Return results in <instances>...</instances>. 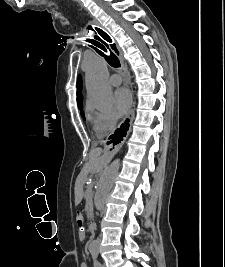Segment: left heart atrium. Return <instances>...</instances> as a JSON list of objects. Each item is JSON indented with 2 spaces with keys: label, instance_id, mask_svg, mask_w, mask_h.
Returning <instances> with one entry per match:
<instances>
[{
  "label": "left heart atrium",
  "instance_id": "1",
  "mask_svg": "<svg viewBox=\"0 0 225 267\" xmlns=\"http://www.w3.org/2000/svg\"><path fill=\"white\" fill-rule=\"evenodd\" d=\"M131 105V95L125 88H119L114 93V108L117 115H124Z\"/></svg>",
  "mask_w": 225,
  "mask_h": 267
}]
</instances>
